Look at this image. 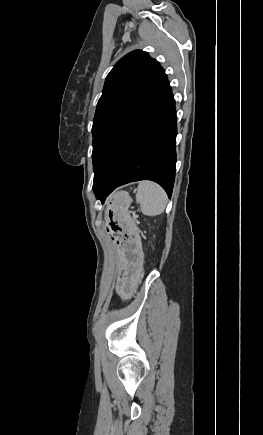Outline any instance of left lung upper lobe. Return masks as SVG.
<instances>
[{"label": "left lung upper lobe", "mask_w": 263, "mask_h": 435, "mask_svg": "<svg viewBox=\"0 0 263 435\" xmlns=\"http://www.w3.org/2000/svg\"><path fill=\"white\" fill-rule=\"evenodd\" d=\"M168 84L163 68L144 51H132L116 63L93 121L94 176L126 127Z\"/></svg>", "instance_id": "obj_1"}]
</instances>
